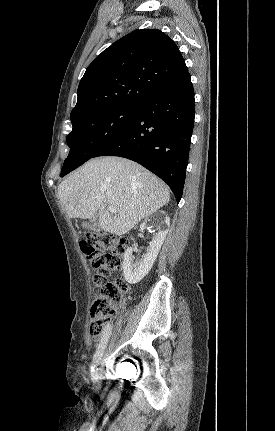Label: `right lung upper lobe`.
I'll return each instance as SVG.
<instances>
[{
    "instance_id": "obj_1",
    "label": "right lung upper lobe",
    "mask_w": 275,
    "mask_h": 431,
    "mask_svg": "<svg viewBox=\"0 0 275 431\" xmlns=\"http://www.w3.org/2000/svg\"><path fill=\"white\" fill-rule=\"evenodd\" d=\"M188 69L174 41L157 29L135 30L86 69L71 122L97 110L137 107L179 81Z\"/></svg>"
}]
</instances>
